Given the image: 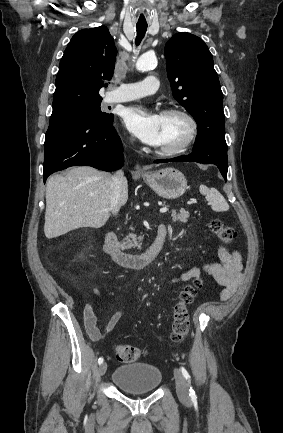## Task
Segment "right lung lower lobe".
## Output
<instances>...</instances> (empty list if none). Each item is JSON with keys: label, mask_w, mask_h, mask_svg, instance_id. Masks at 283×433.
Here are the masks:
<instances>
[{"label": "right lung lower lobe", "mask_w": 283, "mask_h": 433, "mask_svg": "<svg viewBox=\"0 0 283 433\" xmlns=\"http://www.w3.org/2000/svg\"><path fill=\"white\" fill-rule=\"evenodd\" d=\"M44 183L70 166L87 165L104 171L122 167V143L109 119L74 117L50 120L46 133Z\"/></svg>", "instance_id": "right-lung-lower-lobe-1"}]
</instances>
